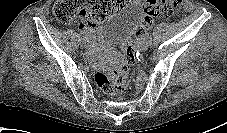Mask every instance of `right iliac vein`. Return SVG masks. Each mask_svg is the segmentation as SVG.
Wrapping results in <instances>:
<instances>
[{
	"mask_svg": "<svg viewBox=\"0 0 227 133\" xmlns=\"http://www.w3.org/2000/svg\"><path fill=\"white\" fill-rule=\"evenodd\" d=\"M81 45H82L83 48H88L89 47V42H88V40L85 37L82 38Z\"/></svg>",
	"mask_w": 227,
	"mask_h": 133,
	"instance_id": "63e3f726",
	"label": "right iliac vein"
}]
</instances>
